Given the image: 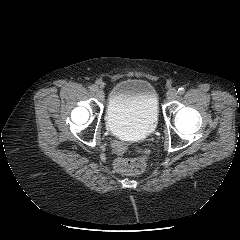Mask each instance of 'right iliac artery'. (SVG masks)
Segmentation results:
<instances>
[{
  "mask_svg": "<svg viewBox=\"0 0 240 240\" xmlns=\"http://www.w3.org/2000/svg\"><path fill=\"white\" fill-rule=\"evenodd\" d=\"M89 88H90V91L92 92L96 91V87L94 85H91Z\"/></svg>",
  "mask_w": 240,
  "mask_h": 240,
  "instance_id": "right-iliac-artery-1",
  "label": "right iliac artery"
}]
</instances>
